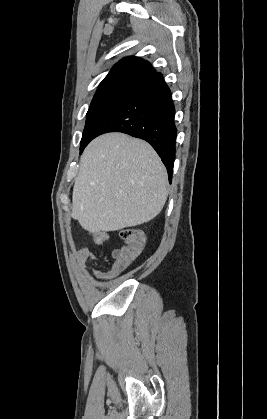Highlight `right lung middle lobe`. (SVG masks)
<instances>
[{
	"label": "right lung middle lobe",
	"mask_w": 267,
	"mask_h": 419,
	"mask_svg": "<svg viewBox=\"0 0 267 419\" xmlns=\"http://www.w3.org/2000/svg\"><path fill=\"white\" fill-rule=\"evenodd\" d=\"M130 93L127 91H113L94 95L86 115V124L80 143V153L92 140L95 130L103 119Z\"/></svg>",
	"instance_id": "obj_1"
}]
</instances>
